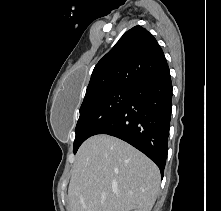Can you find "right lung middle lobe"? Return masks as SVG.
<instances>
[{"label":"right lung middle lobe","mask_w":221,"mask_h":211,"mask_svg":"<svg viewBox=\"0 0 221 211\" xmlns=\"http://www.w3.org/2000/svg\"><path fill=\"white\" fill-rule=\"evenodd\" d=\"M132 88H118L84 100L80 107L73 151L111 120L128 100Z\"/></svg>","instance_id":"dd1d6c3e"}]
</instances>
